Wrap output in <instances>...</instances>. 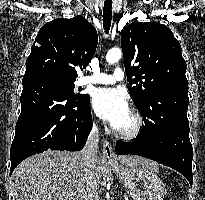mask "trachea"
<instances>
[{
    "mask_svg": "<svg viewBox=\"0 0 205 200\" xmlns=\"http://www.w3.org/2000/svg\"><path fill=\"white\" fill-rule=\"evenodd\" d=\"M112 21V1L108 0L104 2L103 7V28L105 33L108 34Z\"/></svg>",
    "mask_w": 205,
    "mask_h": 200,
    "instance_id": "obj_1",
    "label": "trachea"
}]
</instances>
